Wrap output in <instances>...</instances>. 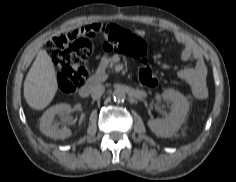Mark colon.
<instances>
[{
    "label": "colon",
    "instance_id": "5ec220e1",
    "mask_svg": "<svg viewBox=\"0 0 236 182\" xmlns=\"http://www.w3.org/2000/svg\"><path fill=\"white\" fill-rule=\"evenodd\" d=\"M102 34L105 45L140 62L138 78L141 85L157 86L158 77L147 63L145 41L134 33L112 23H98L85 26L66 35L50 39L46 50L58 68L57 84L59 90L73 94L81 86L90 69V38Z\"/></svg>",
    "mask_w": 236,
    "mask_h": 182
}]
</instances>
